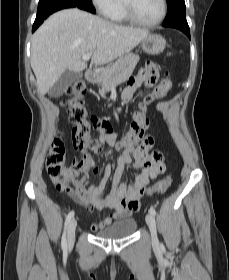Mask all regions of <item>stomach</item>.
<instances>
[{"label": "stomach", "instance_id": "0dacf381", "mask_svg": "<svg viewBox=\"0 0 229 280\" xmlns=\"http://www.w3.org/2000/svg\"><path fill=\"white\" fill-rule=\"evenodd\" d=\"M165 39L157 34L148 35L141 42L142 50L150 55H157L165 49Z\"/></svg>", "mask_w": 229, "mask_h": 280}]
</instances>
